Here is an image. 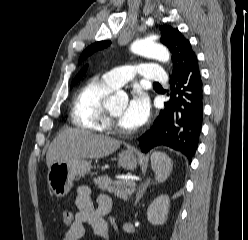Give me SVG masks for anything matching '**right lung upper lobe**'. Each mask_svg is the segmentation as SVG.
Listing matches in <instances>:
<instances>
[{"label": "right lung upper lobe", "instance_id": "1", "mask_svg": "<svg viewBox=\"0 0 248 240\" xmlns=\"http://www.w3.org/2000/svg\"><path fill=\"white\" fill-rule=\"evenodd\" d=\"M86 69H87V66H85V67L80 71V73L75 77V79L73 80L72 83H75V82L79 81V80L82 78V76L85 74Z\"/></svg>", "mask_w": 248, "mask_h": 240}]
</instances>
